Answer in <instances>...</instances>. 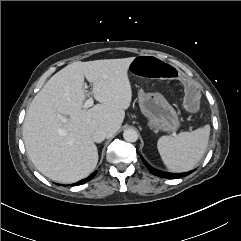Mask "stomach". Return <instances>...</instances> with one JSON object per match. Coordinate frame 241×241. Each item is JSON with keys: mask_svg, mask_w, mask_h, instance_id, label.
Returning a JSON list of instances; mask_svg holds the SVG:
<instances>
[{"mask_svg": "<svg viewBox=\"0 0 241 241\" xmlns=\"http://www.w3.org/2000/svg\"><path fill=\"white\" fill-rule=\"evenodd\" d=\"M141 113L147 119V124L156 131L174 132L180 126L176 110L160 93H145L138 95Z\"/></svg>", "mask_w": 241, "mask_h": 241, "instance_id": "stomach-1", "label": "stomach"}]
</instances>
